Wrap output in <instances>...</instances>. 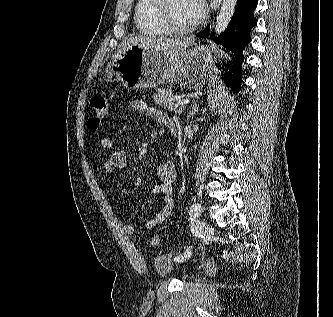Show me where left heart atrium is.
Wrapping results in <instances>:
<instances>
[{
  "label": "left heart atrium",
  "mask_w": 333,
  "mask_h": 317,
  "mask_svg": "<svg viewBox=\"0 0 333 317\" xmlns=\"http://www.w3.org/2000/svg\"><path fill=\"white\" fill-rule=\"evenodd\" d=\"M193 11L196 21L202 19L205 14L204 0H193Z\"/></svg>",
  "instance_id": "obj_1"
}]
</instances>
